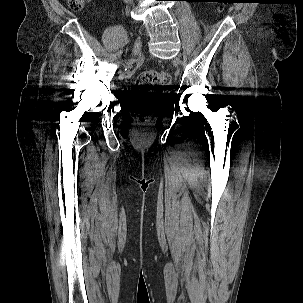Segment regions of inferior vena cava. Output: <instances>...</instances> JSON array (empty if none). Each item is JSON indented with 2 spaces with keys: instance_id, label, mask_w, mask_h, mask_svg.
<instances>
[{
  "instance_id": "obj_1",
  "label": "inferior vena cava",
  "mask_w": 303,
  "mask_h": 303,
  "mask_svg": "<svg viewBox=\"0 0 303 303\" xmlns=\"http://www.w3.org/2000/svg\"><path fill=\"white\" fill-rule=\"evenodd\" d=\"M125 3H131L132 0H124Z\"/></svg>"
}]
</instances>
